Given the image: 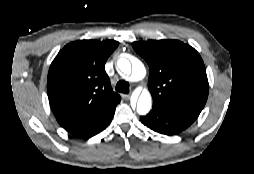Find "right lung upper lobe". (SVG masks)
<instances>
[{"instance_id": "right-lung-upper-lobe-1", "label": "right lung upper lobe", "mask_w": 254, "mask_h": 174, "mask_svg": "<svg viewBox=\"0 0 254 174\" xmlns=\"http://www.w3.org/2000/svg\"><path fill=\"white\" fill-rule=\"evenodd\" d=\"M117 41L83 40L67 44L51 63L47 92L52 111L63 128L116 107L104 66L118 46Z\"/></svg>"}]
</instances>
